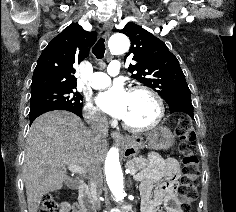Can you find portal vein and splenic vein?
I'll use <instances>...</instances> for the list:
<instances>
[{
	"label": "portal vein and splenic vein",
	"mask_w": 236,
	"mask_h": 212,
	"mask_svg": "<svg viewBox=\"0 0 236 212\" xmlns=\"http://www.w3.org/2000/svg\"><path fill=\"white\" fill-rule=\"evenodd\" d=\"M68 170L71 171V172H73V173H79V174H85V173H86L85 170H84L82 167L76 166V165H69V166H68ZM136 172H137V171H136L135 169H130V170H129V173H130L131 175H135Z\"/></svg>",
	"instance_id": "obj_1"
}]
</instances>
